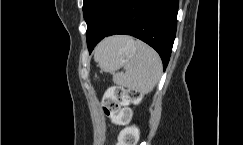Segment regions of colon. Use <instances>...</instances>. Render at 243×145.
Masks as SVG:
<instances>
[{
    "label": "colon",
    "mask_w": 243,
    "mask_h": 145,
    "mask_svg": "<svg viewBox=\"0 0 243 145\" xmlns=\"http://www.w3.org/2000/svg\"><path fill=\"white\" fill-rule=\"evenodd\" d=\"M142 100V94L136 89L125 90L119 86L109 88L103 98V112L110 116L116 124L125 125L130 120V111L120 109L122 105L129 103L138 104ZM139 131L135 126L124 128L118 137L116 145H136Z\"/></svg>",
    "instance_id": "1"
}]
</instances>
